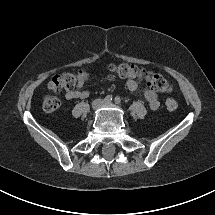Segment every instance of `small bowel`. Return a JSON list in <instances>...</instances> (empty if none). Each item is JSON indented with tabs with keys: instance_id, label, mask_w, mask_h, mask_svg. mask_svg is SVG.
Segmentation results:
<instances>
[{
	"instance_id": "c3829d8e",
	"label": "small bowel",
	"mask_w": 215,
	"mask_h": 215,
	"mask_svg": "<svg viewBox=\"0 0 215 215\" xmlns=\"http://www.w3.org/2000/svg\"><path fill=\"white\" fill-rule=\"evenodd\" d=\"M89 74L86 71H83L79 74V79H78V84L77 88L74 90H70L66 93L65 97L68 100L72 99H84L87 98L89 93L86 90H83L82 87L85 84V82L88 80ZM127 89L131 92H135L138 89V82L135 79H128L126 83ZM144 97L149 105V107L152 110H156L159 108V100L157 97V94L151 90V89H146L144 91Z\"/></svg>"
}]
</instances>
